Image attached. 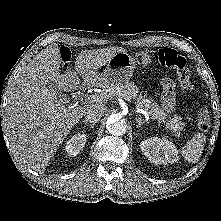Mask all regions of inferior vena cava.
Masks as SVG:
<instances>
[{
	"label": "inferior vena cava",
	"mask_w": 221,
	"mask_h": 221,
	"mask_svg": "<svg viewBox=\"0 0 221 221\" xmlns=\"http://www.w3.org/2000/svg\"><path fill=\"white\" fill-rule=\"evenodd\" d=\"M106 108L104 105H92L85 113L86 121L90 123H97L100 121L101 117L104 115Z\"/></svg>",
	"instance_id": "inferior-vena-cava-1"
}]
</instances>
